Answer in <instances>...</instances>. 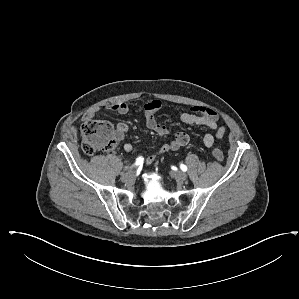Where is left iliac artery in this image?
Segmentation results:
<instances>
[{"instance_id": "1", "label": "left iliac artery", "mask_w": 299, "mask_h": 299, "mask_svg": "<svg viewBox=\"0 0 299 299\" xmlns=\"http://www.w3.org/2000/svg\"><path fill=\"white\" fill-rule=\"evenodd\" d=\"M180 168H181V170L184 171V172L187 171V166L184 165V164H181V165H180Z\"/></svg>"}]
</instances>
